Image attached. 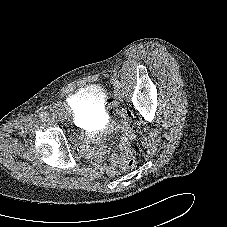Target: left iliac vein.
I'll return each mask as SVG.
<instances>
[{
  "label": "left iliac vein",
  "mask_w": 227,
  "mask_h": 227,
  "mask_svg": "<svg viewBox=\"0 0 227 227\" xmlns=\"http://www.w3.org/2000/svg\"><path fill=\"white\" fill-rule=\"evenodd\" d=\"M115 92L120 98H123V94H122V92H121V90L119 88H116Z\"/></svg>",
  "instance_id": "obj_1"
}]
</instances>
